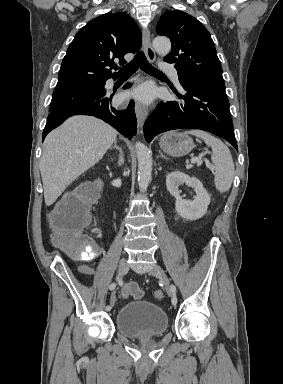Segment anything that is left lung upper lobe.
Masks as SVG:
<instances>
[{
	"instance_id": "obj_1",
	"label": "left lung upper lobe",
	"mask_w": 283,
	"mask_h": 384,
	"mask_svg": "<svg viewBox=\"0 0 283 384\" xmlns=\"http://www.w3.org/2000/svg\"><path fill=\"white\" fill-rule=\"evenodd\" d=\"M157 33L172 42L164 61L175 64L179 78L225 86L214 42L200 21L183 11H169L161 16Z\"/></svg>"
}]
</instances>
